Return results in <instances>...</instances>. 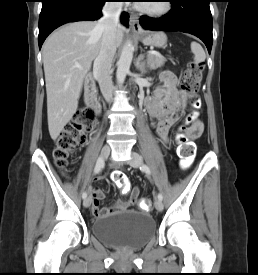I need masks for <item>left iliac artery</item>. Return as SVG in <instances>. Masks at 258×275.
I'll return each mask as SVG.
<instances>
[{
    "mask_svg": "<svg viewBox=\"0 0 258 275\" xmlns=\"http://www.w3.org/2000/svg\"><path fill=\"white\" fill-rule=\"evenodd\" d=\"M140 169H141L142 171H144V172H145L146 174H148V175L151 174L149 167L146 166V165H142V167H141ZM158 199L162 201L163 196H162L161 193L158 194Z\"/></svg>",
    "mask_w": 258,
    "mask_h": 275,
    "instance_id": "left-iliac-artery-1",
    "label": "left iliac artery"
}]
</instances>
